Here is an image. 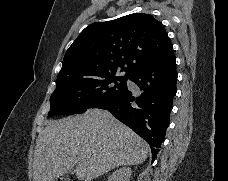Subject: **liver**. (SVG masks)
<instances>
[{
    "label": "liver",
    "instance_id": "liver-1",
    "mask_svg": "<svg viewBox=\"0 0 228 181\" xmlns=\"http://www.w3.org/2000/svg\"><path fill=\"white\" fill-rule=\"evenodd\" d=\"M149 145L109 111L47 123L36 141L33 181H54L74 169L78 181H92L116 167L141 165Z\"/></svg>",
    "mask_w": 228,
    "mask_h": 181
}]
</instances>
